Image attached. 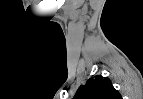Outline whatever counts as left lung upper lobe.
I'll return each instance as SVG.
<instances>
[{"label": "left lung upper lobe", "instance_id": "left-lung-upper-lobe-1", "mask_svg": "<svg viewBox=\"0 0 143 99\" xmlns=\"http://www.w3.org/2000/svg\"><path fill=\"white\" fill-rule=\"evenodd\" d=\"M74 99H122L107 77L95 76L80 86Z\"/></svg>", "mask_w": 143, "mask_h": 99}]
</instances>
